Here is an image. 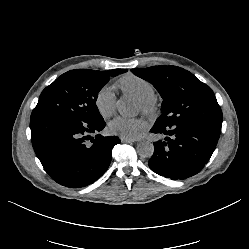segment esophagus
Listing matches in <instances>:
<instances>
[{"label":"esophagus","mask_w":249,"mask_h":249,"mask_svg":"<svg viewBox=\"0 0 249 249\" xmlns=\"http://www.w3.org/2000/svg\"><path fill=\"white\" fill-rule=\"evenodd\" d=\"M121 142L122 143H132L133 139L126 138V137H121Z\"/></svg>","instance_id":"obj_1"}]
</instances>
